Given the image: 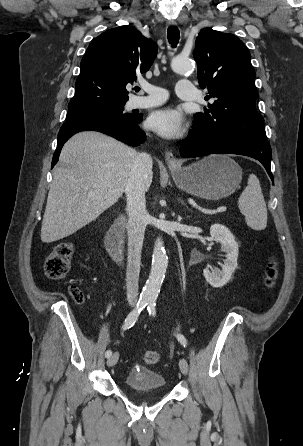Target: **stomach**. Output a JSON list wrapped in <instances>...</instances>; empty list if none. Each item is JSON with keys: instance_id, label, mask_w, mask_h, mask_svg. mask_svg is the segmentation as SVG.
Listing matches in <instances>:
<instances>
[{"instance_id": "stomach-1", "label": "stomach", "mask_w": 303, "mask_h": 446, "mask_svg": "<svg viewBox=\"0 0 303 446\" xmlns=\"http://www.w3.org/2000/svg\"><path fill=\"white\" fill-rule=\"evenodd\" d=\"M181 190L209 200L228 197L239 187L242 168L226 155H210L186 167H170Z\"/></svg>"}]
</instances>
